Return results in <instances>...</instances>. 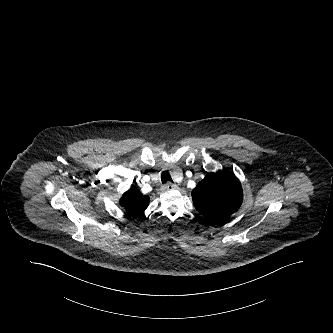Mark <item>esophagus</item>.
Masks as SVG:
<instances>
[{
  "mask_svg": "<svg viewBox=\"0 0 333 333\" xmlns=\"http://www.w3.org/2000/svg\"><path fill=\"white\" fill-rule=\"evenodd\" d=\"M165 190H175L177 189V185L173 184L171 182H168L167 184L164 185Z\"/></svg>",
  "mask_w": 333,
  "mask_h": 333,
  "instance_id": "esophagus-1",
  "label": "esophagus"
}]
</instances>
